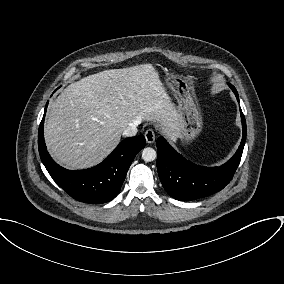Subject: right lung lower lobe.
I'll use <instances>...</instances> for the list:
<instances>
[{"label": "right lung lower lobe", "mask_w": 284, "mask_h": 284, "mask_svg": "<svg viewBox=\"0 0 284 284\" xmlns=\"http://www.w3.org/2000/svg\"><path fill=\"white\" fill-rule=\"evenodd\" d=\"M38 132L40 158L53 180L72 198L80 202L101 204L115 198L124 182L136 154L145 147L144 136L123 140L114 151L95 167L72 171L56 164L47 152L44 135V117Z\"/></svg>", "instance_id": "obj_1"}]
</instances>
